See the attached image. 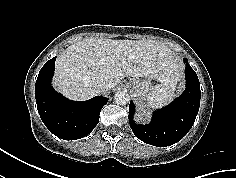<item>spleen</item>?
I'll return each instance as SVG.
<instances>
[{
  "label": "spleen",
  "mask_w": 236,
  "mask_h": 178,
  "mask_svg": "<svg viewBox=\"0 0 236 178\" xmlns=\"http://www.w3.org/2000/svg\"><path fill=\"white\" fill-rule=\"evenodd\" d=\"M173 84L162 83L151 88L147 97L148 105L151 108H160L170 103L175 97Z\"/></svg>",
  "instance_id": "1"
}]
</instances>
